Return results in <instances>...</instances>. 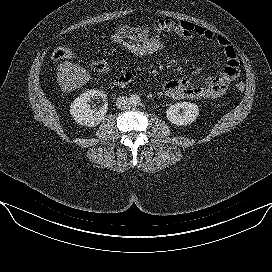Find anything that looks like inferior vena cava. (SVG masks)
I'll use <instances>...</instances> for the list:
<instances>
[{"label":"inferior vena cava","instance_id":"1","mask_svg":"<svg viewBox=\"0 0 272 272\" xmlns=\"http://www.w3.org/2000/svg\"><path fill=\"white\" fill-rule=\"evenodd\" d=\"M116 106L118 109L127 110L131 107L130 98L126 96L118 97L116 100Z\"/></svg>","mask_w":272,"mask_h":272}]
</instances>
